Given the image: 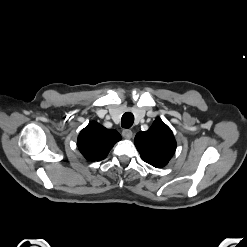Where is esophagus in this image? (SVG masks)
<instances>
[{
    "label": "esophagus",
    "mask_w": 247,
    "mask_h": 247,
    "mask_svg": "<svg viewBox=\"0 0 247 247\" xmlns=\"http://www.w3.org/2000/svg\"><path fill=\"white\" fill-rule=\"evenodd\" d=\"M122 136L126 139H131L133 137V132L130 129H124L122 131Z\"/></svg>",
    "instance_id": "obj_1"
}]
</instances>
